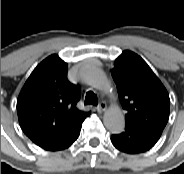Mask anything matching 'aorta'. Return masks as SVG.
<instances>
[{"label":"aorta","instance_id":"762f6f07","mask_svg":"<svg viewBox=\"0 0 184 174\" xmlns=\"http://www.w3.org/2000/svg\"><path fill=\"white\" fill-rule=\"evenodd\" d=\"M87 79L89 84L95 88L110 89L106 75L99 68L92 67L87 74ZM103 122L105 127L112 133H120L124 130L125 118L121 109L117 106L111 107L105 112Z\"/></svg>","mask_w":184,"mask_h":174}]
</instances>
